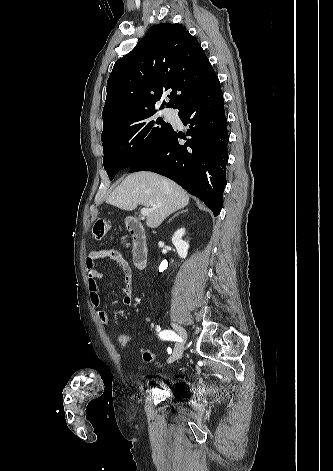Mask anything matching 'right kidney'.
Masks as SVG:
<instances>
[{
    "label": "right kidney",
    "instance_id": "right-kidney-1",
    "mask_svg": "<svg viewBox=\"0 0 333 471\" xmlns=\"http://www.w3.org/2000/svg\"><path fill=\"white\" fill-rule=\"evenodd\" d=\"M185 234V229L181 228L176 231L172 237V243L175 246L177 253L180 258L185 259L188 253L189 244L188 242L182 239V236Z\"/></svg>",
    "mask_w": 333,
    "mask_h": 471
}]
</instances>
